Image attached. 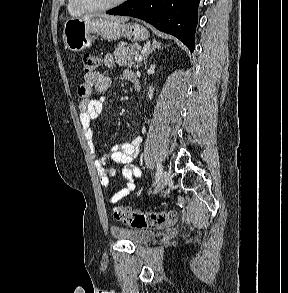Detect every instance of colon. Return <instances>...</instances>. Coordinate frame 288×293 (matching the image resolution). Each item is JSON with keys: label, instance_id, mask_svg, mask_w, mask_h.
I'll return each mask as SVG.
<instances>
[{"label": "colon", "instance_id": "1", "mask_svg": "<svg viewBox=\"0 0 288 293\" xmlns=\"http://www.w3.org/2000/svg\"><path fill=\"white\" fill-rule=\"evenodd\" d=\"M83 71L86 75L96 72L99 66L98 58L91 53L82 56ZM113 216L117 221L135 228L162 229L174 223L177 219L175 211L142 212L128 207L118 206L113 209Z\"/></svg>", "mask_w": 288, "mask_h": 293}]
</instances>
